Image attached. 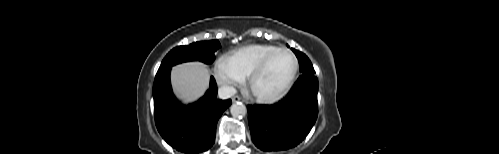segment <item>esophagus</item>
Masks as SVG:
<instances>
[{"mask_svg": "<svg viewBox=\"0 0 499 154\" xmlns=\"http://www.w3.org/2000/svg\"><path fill=\"white\" fill-rule=\"evenodd\" d=\"M232 101H233V102H239V101H242V98H241L240 96L236 95V96H234V97L232 98Z\"/></svg>", "mask_w": 499, "mask_h": 154, "instance_id": "esophagus-1", "label": "esophagus"}]
</instances>
